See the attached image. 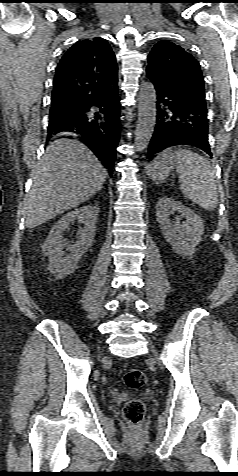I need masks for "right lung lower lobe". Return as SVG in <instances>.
<instances>
[{
  "label": "right lung lower lobe",
  "instance_id": "1",
  "mask_svg": "<svg viewBox=\"0 0 238 476\" xmlns=\"http://www.w3.org/2000/svg\"><path fill=\"white\" fill-rule=\"evenodd\" d=\"M92 107L98 108L94 115L90 114ZM119 119L120 103L116 87L82 108L70 119L55 123L49 122L48 136L60 132H72L80 135L81 142L94 152L112 176L120 136Z\"/></svg>",
  "mask_w": 238,
  "mask_h": 476
}]
</instances>
